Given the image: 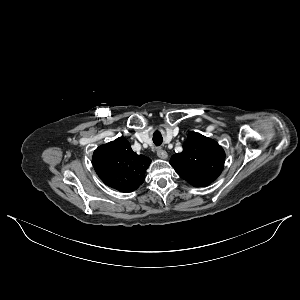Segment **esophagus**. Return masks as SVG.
I'll use <instances>...</instances> for the list:
<instances>
[{
    "label": "esophagus",
    "mask_w": 300,
    "mask_h": 300,
    "mask_svg": "<svg viewBox=\"0 0 300 300\" xmlns=\"http://www.w3.org/2000/svg\"><path fill=\"white\" fill-rule=\"evenodd\" d=\"M157 156L160 158V159H167L168 158V154L165 150L161 149V148H158L157 149Z\"/></svg>",
    "instance_id": "esophagus-1"
}]
</instances>
